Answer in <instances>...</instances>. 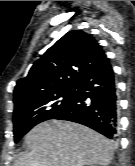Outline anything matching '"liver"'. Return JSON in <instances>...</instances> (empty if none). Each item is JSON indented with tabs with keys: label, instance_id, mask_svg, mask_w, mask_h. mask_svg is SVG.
<instances>
[{
	"label": "liver",
	"instance_id": "liver-1",
	"mask_svg": "<svg viewBox=\"0 0 135 166\" xmlns=\"http://www.w3.org/2000/svg\"><path fill=\"white\" fill-rule=\"evenodd\" d=\"M29 152L13 166H85L110 164L112 142L96 131L69 121L49 120L25 137Z\"/></svg>",
	"mask_w": 135,
	"mask_h": 166
}]
</instances>
